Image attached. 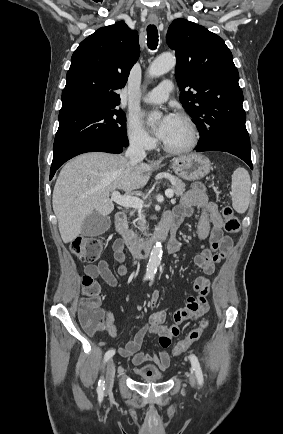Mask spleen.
<instances>
[{"mask_svg":"<svg viewBox=\"0 0 283 434\" xmlns=\"http://www.w3.org/2000/svg\"><path fill=\"white\" fill-rule=\"evenodd\" d=\"M250 176L244 168H237L232 175V206L238 213H244L250 201Z\"/></svg>","mask_w":283,"mask_h":434,"instance_id":"spleen-1","label":"spleen"}]
</instances>
